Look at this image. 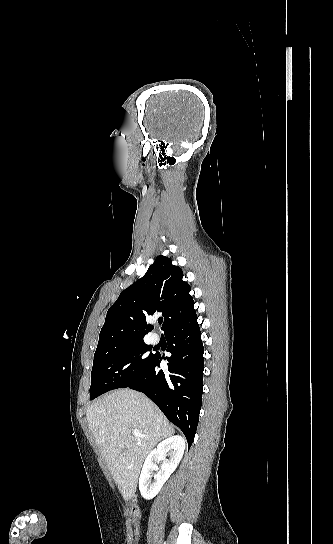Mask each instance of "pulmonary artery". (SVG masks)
Instances as JSON below:
<instances>
[{"mask_svg": "<svg viewBox=\"0 0 333 544\" xmlns=\"http://www.w3.org/2000/svg\"><path fill=\"white\" fill-rule=\"evenodd\" d=\"M159 340H160L159 334L156 333V332L152 333V335H151L152 343L157 344L159 342Z\"/></svg>", "mask_w": 333, "mask_h": 544, "instance_id": "pulmonary-artery-1", "label": "pulmonary artery"}]
</instances>
